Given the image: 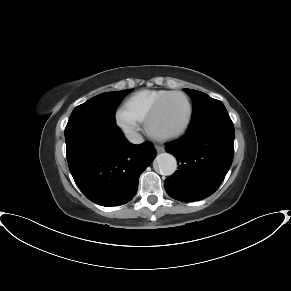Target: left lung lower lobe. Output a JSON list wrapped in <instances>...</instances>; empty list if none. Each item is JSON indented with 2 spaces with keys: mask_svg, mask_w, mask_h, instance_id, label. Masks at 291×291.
<instances>
[{
  "mask_svg": "<svg viewBox=\"0 0 291 291\" xmlns=\"http://www.w3.org/2000/svg\"><path fill=\"white\" fill-rule=\"evenodd\" d=\"M178 171L165 180L166 192L183 202L202 200L224 180L234 155V125L226 109L194 123L181 138L169 142Z\"/></svg>",
  "mask_w": 291,
  "mask_h": 291,
  "instance_id": "1",
  "label": "left lung lower lobe"
}]
</instances>
